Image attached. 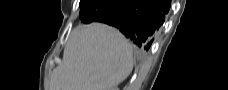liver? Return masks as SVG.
Returning <instances> with one entry per match:
<instances>
[{"label": "liver", "instance_id": "liver-1", "mask_svg": "<svg viewBox=\"0 0 228 90\" xmlns=\"http://www.w3.org/2000/svg\"><path fill=\"white\" fill-rule=\"evenodd\" d=\"M132 69L131 43L114 28L92 23L72 31L50 90H111Z\"/></svg>", "mask_w": 228, "mask_h": 90}]
</instances>
